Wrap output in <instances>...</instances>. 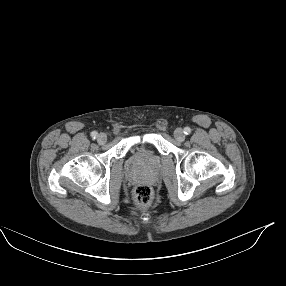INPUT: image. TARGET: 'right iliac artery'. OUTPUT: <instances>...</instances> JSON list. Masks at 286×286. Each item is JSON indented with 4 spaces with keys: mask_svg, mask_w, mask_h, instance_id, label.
I'll return each mask as SVG.
<instances>
[{
    "mask_svg": "<svg viewBox=\"0 0 286 286\" xmlns=\"http://www.w3.org/2000/svg\"><path fill=\"white\" fill-rule=\"evenodd\" d=\"M98 136V133L96 131L91 132V137L95 139Z\"/></svg>",
    "mask_w": 286,
    "mask_h": 286,
    "instance_id": "82829eb1",
    "label": "right iliac artery"
}]
</instances>
